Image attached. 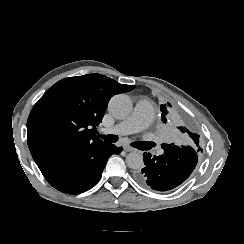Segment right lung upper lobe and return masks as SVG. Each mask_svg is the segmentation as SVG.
<instances>
[{
  "mask_svg": "<svg viewBox=\"0 0 244 244\" xmlns=\"http://www.w3.org/2000/svg\"><path fill=\"white\" fill-rule=\"evenodd\" d=\"M100 74L65 78L38 100L27 121L35 162L103 142L96 135L113 95L134 89Z\"/></svg>",
  "mask_w": 244,
  "mask_h": 244,
  "instance_id": "obj_1",
  "label": "right lung upper lobe"
}]
</instances>
